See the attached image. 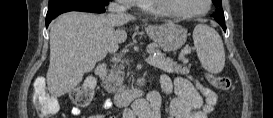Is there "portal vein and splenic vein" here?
Listing matches in <instances>:
<instances>
[{"mask_svg":"<svg viewBox=\"0 0 273 118\" xmlns=\"http://www.w3.org/2000/svg\"><path fill=\"white\" fill-rule=\"evenodd\" d=\"M152 61V56H149V58L147 59V62L151 64Z\"/></svg>","mask_w":273,"mask_h":118,"instance_id":"obj_1","label":"portal vein and splenic vein"}]
</instances>
